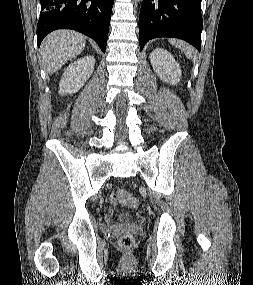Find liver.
Returning <instances> with one entry per match:
<instances>
[{
    "label": "liver",
    "mask_w": 253,
    "mask_h": 285,
    "mask_svg": "<svg viewBox=\"0 0 253 285\" xmlns=\"http://www.w3.org/2000/svg\"><path fill=\"white\" fill-rule=\"evenodd\" d=\"M85 37L75 31L58 30L49 34L41 44V59L48 74L58 71L68 60L85 48Z\"/></svg>",
    "instance_id": "6515ba94"
}]
</instances>
